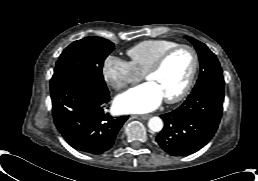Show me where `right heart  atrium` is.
<instances>
[{"instance_id":"obj_1","label":"right heart atrium","mask_w":258,"mask_h":181,"mask_svg":"<svg viewBox=\"0 0 258 181\" xmlns=\"http://www.w3.org/2000/svg\"><path fill=\"white\" fill-rule=\"evenodd\" d=\"M102 75L108 85L121 90L142 79L130 62L116 56H107L102 65Z\"/></svg>"}]
</instances>
